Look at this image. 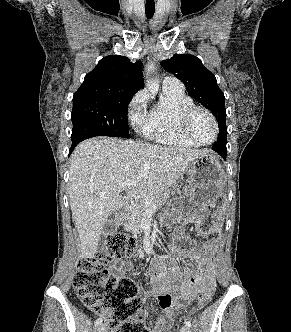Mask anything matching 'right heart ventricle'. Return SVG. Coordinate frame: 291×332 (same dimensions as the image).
<instances>
[{
    "instance_id": "obj_1",
    "label": "right heart ventricle",
    "mask_w": 291,
    "mask_h": 332,
    "mask_svg": "<svg viewBox=\"0 0 291 332\" xmlns=\"http://www.w3.org/2000/svg\"><path fill=\"white\" fill-rule=\"evenodd\" d=\"M194 105L184 90L163 89V96L150 108L142 126L145 135L164 145L195 148L198 145L189 140L180 128L183 110Z\"/></svg>"
}]
</instances>
